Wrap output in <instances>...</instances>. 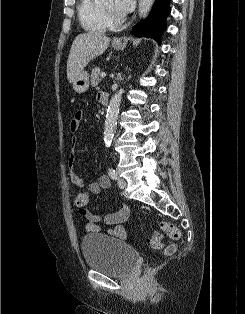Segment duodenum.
I'll use <instances>...</instances> for the list:
<instances>
[{
	"label": "duodenum",
	"mask_w": 245,
	"mask_h": 314,
	"mask_svg": "<svg viewBox=\"0 0 245 314\" xmlns=\"http://www.w3.org/2000/svg\"><path fill=\"white\" fill-rule=\"evenodd\" d=\"M100 102L106 106L108 104V95L106 93H102L100 95Z\"/></svg>",
	"instance_id": "obj_1"
}]
</instances>
